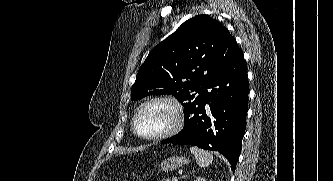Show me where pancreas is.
I'll list each match as a JSON object with an SVG mask.
<instances>
[{
    "instance_id": "1",
    "label": "pancreas",
    "mask_w": 333,
    "mask_h": 181,
    "mask_svg": "<svg viewBox=\"0 0 333 181\" xmlns=\"http://www.w3.org/2000/svg\"><path fill=\"white\" fill-rule=\"evenodd\" d=\"M162 181H171L170 179H164V180H162Z\"/></svg>"
}]
</instances>
